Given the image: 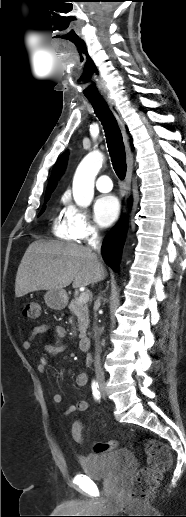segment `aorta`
I'll list each match as a JSON object with an SVG mask.
<instances>
[{"instance_id":"1","label":"aorta","mask_w":186,"mask_h":517,"mask_svg":"<svg viewBox=\"0 0 186 517\" xmlns=\"http://www.w3.org/2000/svg\"><path fill=\"white\" fill-rule=\"evenodd\" d=\"M104 160L99 151H92L79 164L73 178V197L83 207L90 205L94 196L95 178Z\"/></svg>"}]
</instances>
